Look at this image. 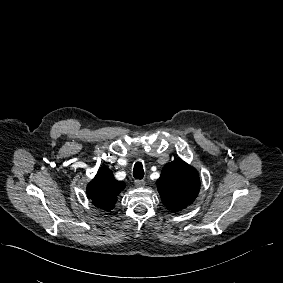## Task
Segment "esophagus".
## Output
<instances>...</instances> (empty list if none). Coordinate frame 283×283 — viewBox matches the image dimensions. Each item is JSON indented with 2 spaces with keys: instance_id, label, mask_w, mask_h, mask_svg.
<instances>
[{
  "instance_id": "obj_1",
  "label": "esophagus",
  "mask_w": 283,
  "mask_h": 283,
  "mask_svg": "<svg viewBox=\"0 0 283 283\" xmlns=\"http://www.w3.org/2000/svg\"><path fill=\"white\" fill-rule=\"evenodd\" d=\"M134 184L136 187H144L145 186V181L144 180H139V179H136L134 181Z\"/></svg>"
}]
</instances>
